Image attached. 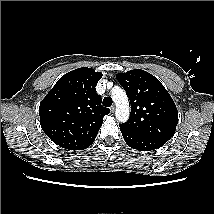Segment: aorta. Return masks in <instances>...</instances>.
I'll return each instance as SVG.
<instances>
[{
  "label": "aorta",
  "instance_id": "aorta-1",
  "mask_svg": "<svg viewBox=\"0 0 214 214\" xmlns=\"http://www.w3.org/2000/svg\"><path fill=\"white\" fill-rule=\"evenodd\" d=\"M112 100L116 104L115 116L119 122H126L129 118V102L126 92L119 88L115 87L112 90Z\"/></svg>",
  "mask_w": 214,
  "mask_h": 214
}]
</instances>
